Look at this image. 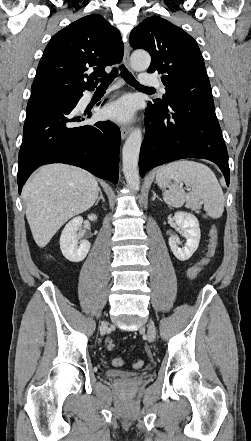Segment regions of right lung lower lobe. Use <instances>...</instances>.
<instances>
[{
    "instance_id": "right-lung-lower-lobe-1",
    "label": "right lung lower lobe",
    "mask_w": 251,
    "mask_h": 441,
    "mask_svg": "<svg viewBox=\"0 0 251 441\" xmlns=\"http://www.w3.org/2000/svg\"><path fill=\"white\" fill-rule=\"evenodd\" d=\"M82 96L29 99L18 158L19 193L35 169L50 163L75 165L117 183L120 130L109 122L80 124L85 115H78L75 107Z\"/></svg>"
}]
</instances>
